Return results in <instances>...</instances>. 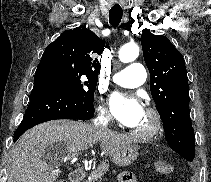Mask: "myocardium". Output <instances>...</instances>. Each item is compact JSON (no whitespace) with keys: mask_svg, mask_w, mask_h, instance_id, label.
Segmentation results:
<instances>
[{"mask_svg":"<svg viewBox=\"0 0 211 182\" xmlns=\"http://www.w3.org/2000/svg\"><path fill=\"white\" fill-rule=\"evenodd\" d=\"M145 112H147L151 118H152V126L147 131H136L131 129L130 134L139 141H150L154 139L162 130L163 127V120L160 113L153 107L148 106L145 109Z\"/></svg>","mask_w":211,"mask_h":182,"instance_id":"1","label":"myocardium"}]
</instances>
